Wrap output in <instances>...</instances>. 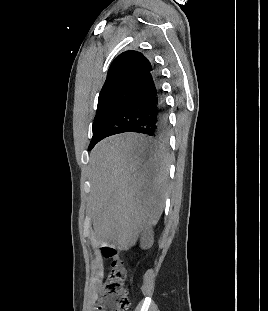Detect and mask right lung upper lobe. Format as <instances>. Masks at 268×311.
I'll return each instance as SVG.
<instances>
[{
  "mask_svg": "<svg viewBox=\"0 0 268 311\" xmlns=\"http://www.w3.org/2000/svg\"><path fill=\"white\" fill-rule=\"evenodd\" d=\"M152 69L149 60L138 51L121 53L110 65L99 98L119 87L137 84Z\"/></svg>",
  "mask_w": 268,
  "mask_h": 311,
  "instance_id": "1",
  "label": "right lung upper lobe"
}]
</instances>
